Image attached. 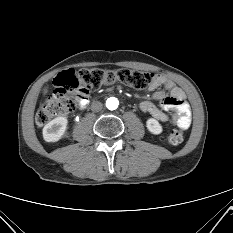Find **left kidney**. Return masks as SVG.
Returning a JSON list of instances; mask_svg holds the SVG:
<instances>
[{"mask_svg": "<svg viewBox=\"0 0 233 233\" xmlns=\"http://www.w3.org/2000/svg\"><path fill=\"white\" fill-rule=\"evenodd\" d=\"M147 129L155 135L162 133L163 129L161 124L154 118H149L146 122Z\"/></svg>", "mask_w": 233, "mask_h": 233, "instance_id": "5707ae66", "label": "left kidney"}]
</instances>
